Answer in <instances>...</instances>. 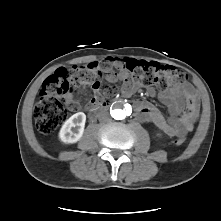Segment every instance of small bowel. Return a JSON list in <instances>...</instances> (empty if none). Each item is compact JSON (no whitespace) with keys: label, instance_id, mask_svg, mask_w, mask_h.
Wrapping results in <instances>:
<instances>
[{"label":"small bowel","instance_id":"1","mask_svg":"<svg viewBox=\"0 0 221 221\" xmlns=\"http://www.w3.org/2000/svg\"><path fill=\"white\" fill-rule=\"evenodd\" d=\"M111 66H114L118 72H114ZM102 70L107 82L122 81V93L125 96H130L137 88V82L123 68V60L110 58ZM100 87V83L92 87L94 97L87 103L86 108L91 109L101 100ZM147 91L150 96H157L168 107L170 116L166 118L153 104L138 100L135 102V107L139 120L153 123L159 130L171 137L184 136L193 130L199 117V101L188 83H177L159 92L152 87ZM80 107L78 102L71 100V109Z\"/></svg>","mask_w":221,"mask_h":221}]
</instances>
